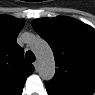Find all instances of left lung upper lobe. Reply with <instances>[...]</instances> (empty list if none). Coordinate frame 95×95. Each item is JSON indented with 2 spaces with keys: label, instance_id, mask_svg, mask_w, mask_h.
I'll use <instances>...</instances> for the list:
<instances>
[{
  "label": "left lung upper lobe",
  "instance_id": "left-lung-upper-lobe-1",
  "mask_svg": "<svg viewBox=\"0 0 95 95\" xmlns=\"http://www.w3.org/2000/svg\"><path fill=\"white\" fill-rule=\"evenodd\" d=\"M34 30L52 48L57 66L54 78L45 82L53 89L95 90V30L69 17L40 18Z\"/></svg>",
  "mask_w": 95,
  "mask_h": 95
}]
</instances>
